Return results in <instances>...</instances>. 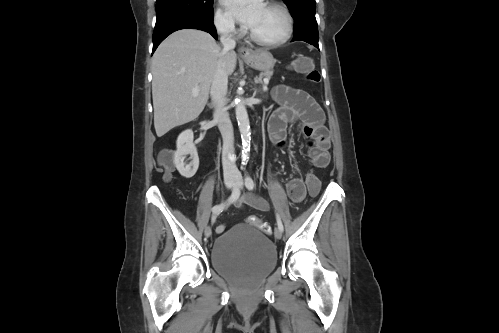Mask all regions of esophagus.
Masks as SVG:
<instances>
[{
  "instance_id": "obj_1",
  "label": "esophagus",
  "mask_w": 499,
  "mask_h": 333,
  "mask_svg": "<svg viewBox=\"0 0 499 333\" xmlns=\"http://www.w3.org/2000/svg\"><path fill=\"white\" fill-rule=\"evenodd\" d=\"M238 52H239V55H240L241 57H247V56H249V55L251 54L250 49H249V48H247V47H245V46H241V47H239Z\"/></svg>"
}]
</instances>
